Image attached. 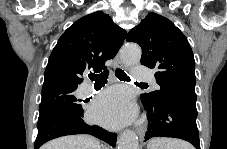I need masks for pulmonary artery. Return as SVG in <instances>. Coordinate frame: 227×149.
<instances>
[{"label": "pulmonary artery", "mask_w": 227, "mask_h": 149, "mask_svg": "<svg viewBox=\"0 0 227 149\" xmlns=\"http://www.w3.org/2000/svg\"><path fill=\"white\" fill-rule=\"evenodd\" d=\"M134 71V79L136 81H140V82H147L152 84L153 87L157 88L158 85L156 83V81L154 80V76L152 74V71L147 68V67H142V66H136L133 68ZM91 88L87 87L84 91V94H89L91 93Z\"/></svg>", "instance_id": "e3ab8cb5"}]
</instances>
